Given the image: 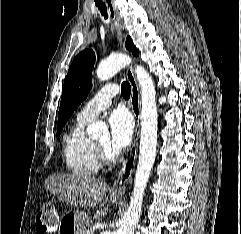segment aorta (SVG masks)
<instances>
[{"label":"aorta","instance_id":"obj_1","mask_svg":"<svg viewBox=\"0 0 241 234\" xmlns=\"http://www.w3.org/2000/svg\"><path fill=\"white\" fill-rule=\"evenodd\" d=\"M129 63L131 59L125 54L110 56L99 64L96 71L97 78L105 81ZM135 74L141 87L142 103L139 159L129 207L116 234L134 233L141 215L144 191L156 157L158 114L154 83L147 70L141 65L135 66ZM107 131V126L103 122H94L87 127V133L91 137H98Z\"/></svg>","mask_w":241,"mask_h":234}]
</instances>
